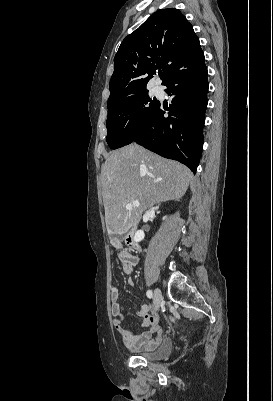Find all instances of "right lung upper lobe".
<instances>
[{
    "label": "right lung upper lobe",
    "mask_w": 273,
    "mask_h": 401,
    "mask_svg": "<svg viewBox=\"0 0 273 401\" xmlns=\"http://www.w3.org/2000/svg\"><path fill=\"white\" fill-rule=\"evenodd\" d=\"M203 60L199 39L186 17L175 8L159 10L121 43L107 107L146 91L157 69L163 85L178 68Z\"/></svg>",
    "instance_id": "cb5924a9"
}]
</instances>
